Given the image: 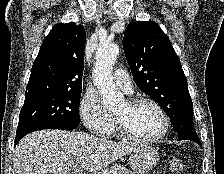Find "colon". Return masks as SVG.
I'll return each mask as SVG.
<instances>
[{"mask_svg":"<svg viewBox=\"0 0 224 174\" xmlns=\"http://www.w3.org/2000/svg\"><path fill=\"white\" fill-rule=\"evenodd\" d=\"M168 165H169V169L173 173H179L184 168V164H183L182 160L179 159L178 157H175V156L169 157V159H168Z\"/></svg>","mask_w":224,"mask_h":174,"instance_id":"obj_1","label":"colon"}]
</instances>
